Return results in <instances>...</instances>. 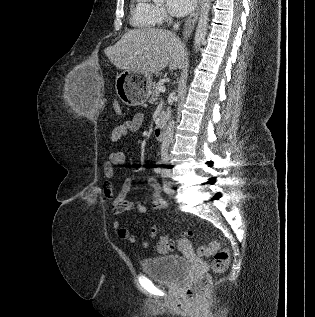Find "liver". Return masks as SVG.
I'll list each match as a JSON object with an SVG mask.
<instances>
[{"label": "liver", "instance_id": "6515ba94", "mask_svg": "<svg viewBox=\"0 0 315 317\" xmlns=\"http://www.w3.org/2000/svg\"><path fill=\"white\" fill-rule=\"evenodd\" d=\"M105 55L119 69L134 70L142 74H157L169 65L170 71L181 68L187 53L176 35L161 28L127 31Z\"/></svg>", "mask_w": 315, "mask_h": 317}]
</instances>
